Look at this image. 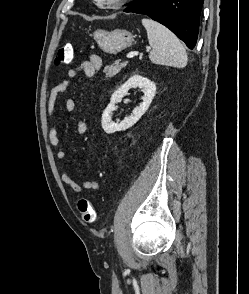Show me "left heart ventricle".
Listing matches in <instances>:
<instances>
[{"instance_id": "b2bd125f", "label": "left heart ventricle", "mask_w": 249, "mask_h": 294, "mask_svg": "<svg viewBox=\"0 0 249 294\" xmlns=\"http://www.w3.org/2000/svg\"><path fill=\"white\" fill-rule=\"evenodd\" d=\"M98 1L101 2V3H108V2L113 1V0H98Z\"/></svg>"}]
</instances>
